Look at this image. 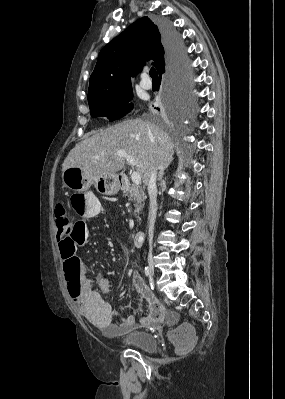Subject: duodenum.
<instances>
[{
  "mask_svg": "<svg viewBox=\"0 0 285 399\" xmlns=\"http://www.w3.org/2000/svg\"><path fill=\"white\" fill-rule=\"evenodd\" d=\"M146 237V232L145 230H138L135 232L134 237H133V241L135 245H141Z\"/></svg>",
  "mask_w": 285,
  "mask_h": 399,
  "instance_id": "410a0bca",
  "label": "duodenum"
}]
</instances>
